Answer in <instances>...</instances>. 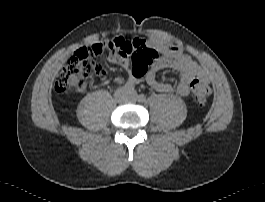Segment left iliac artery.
<instances>
[{"label":"left iliac artery","instance_id":"44dca946","mask_svg":"<svg viewBox=\"0 0 265 202\" xmlns=\"http://www.w3.org/2000/svg\"><path fill=\"white\" fill-rule=\"evenodd\" d=\"M137 100L139 102H145L146 101V96L144 94H140L137 96Z\"/></svg>","mask_w":265,"mask_h":202}]
</instances>
